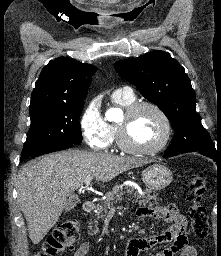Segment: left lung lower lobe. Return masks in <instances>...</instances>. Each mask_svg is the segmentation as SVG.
I'll use <instances>...</instances> for the list:
<instances>
[{"instance_id": "obj_1", "label": "left lung lower lobe", "mask_w": 221, "mask_h": 256, "mask_svg": "<svg viewBox=\"0 0 221 256\" xmlns=\"http://www.w3.org/2000/svg\"><path fill=\"white\" fill-rule=\"evenodd\" d=\"M187 152H198L205 155L214 161H217V165L221 164V150L215 147L212 143H194L186 147H169L163 157H172Z\"/></svg>"}]
</instances>
